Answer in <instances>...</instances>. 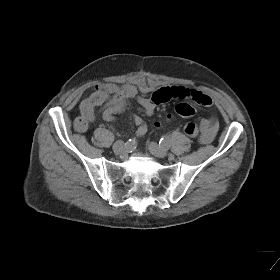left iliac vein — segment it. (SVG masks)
Returning <instances> with one entry per match:
<instances>
[{"label": "left iliac vein", "instance_id": "4c4485c4", "mask_svg": "<svg viewBox=\"0 0 280 280\" xmlns=\"http://www.w3.org/2000/svg\"><path fill=\"white\" fill-rule=\"evenodd\" d=\"M148 148L152 155L159 157V158H163L168 154L166 148H164L154 142H151L149 144Z\"/></svg>", "mask_w": 280, "mask_h": 280}]
</instances>
